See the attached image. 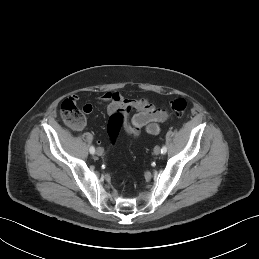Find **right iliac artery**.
I'll list each match as a JSON object with an SVG mask.
<instances>
[{"label":"right iliac artery","mask_w":259,"mask_h":259,"mask_svg":"<svg viewBox=\"0 0 259 259\" xmlns=\"http://www.w3.org/2000/svg\"><path fill=\"white\" fill-rule=\"evenodd\" d=\"M89 151H90L91 154H94L95 153V148L93 146H91Z\"/></svg>","instance_id":"right-iliac-artery-1"}]
</instances>
